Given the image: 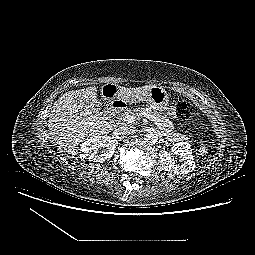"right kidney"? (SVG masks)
<instances>
[{
    "label": "right kidney",
    "mask_w": 255,
    "mask_h": 255,
    "mask_svg": "<svg viewBox=\"0 0 255 255\" xmlns=\"http://www.w3.org/2000/svg\"><path fill=\"white\" fill-rule=\"evenodd\" d=\"M117 144V140L109 136L97 135L85 140L80 147V156L89 161L101 163L112 157ZM102 147L106 149L99 154L98 150Z\"/></svg>",
    "instance_id": "obj_1"
}]
</instances>
